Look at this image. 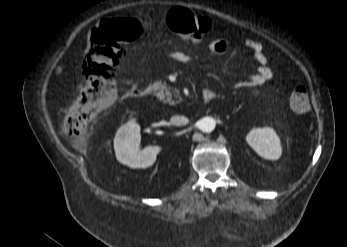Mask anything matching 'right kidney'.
I'll list each match as a JSON object with an SVG mask.
<instances>
[{
	"instance_id": "ca27d5eb",
	"label": "right kidney",
	"mask_w": 347,
	"mask_h": 247,
	"mask_svg": "<svg viewBox=\"0 0 347 247\" xmlns=\"http://www.w3.org/2000/svg\"><path fill=\"white\" fill-rule=\"evenodd\" d=\"M140 125L131 120L122 125L114 138L117 160L130 168H147L156 161L160 146H147L140 149Z\"/></svg>"
}]
</instances>
